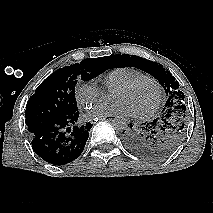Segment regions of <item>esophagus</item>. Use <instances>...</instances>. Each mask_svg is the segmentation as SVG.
<instances>
[{"label":"esophagus","instance_id":"1","mask_svg":"<svg viewBox=\"0 0 213 213\" xmlns=\"http://www.w3.org/2000/svg\"><path fill=\"white\" fill-rule=\"evenodd\" d=\"M99 120H109V121H113L115 119H117V116L113 115V116H104L101 118H98Z\"/></svg>","mask_w":213,"mask_h":213}]
</instances>
